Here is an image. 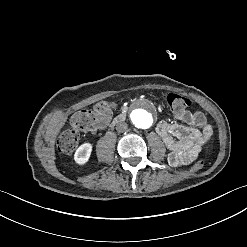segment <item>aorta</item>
<instances>
[{
	"instance_id": "762f6f07",
	"label": "aorta",
	"mask_w": 247,
	"mask_h": 247,
	"mask_svg": "<svg viewBox=\"0 0 247 247\" xmlns=\"http://www.w3.org/2000/svg\"><path fill=\"white\" fill-rule=\"evenodd\" d=\"M133 121L138 128L147 129L152 124L151 116L146 114V112H139L138 115L134 116Z\"/></svg>"
}]
</instances>
